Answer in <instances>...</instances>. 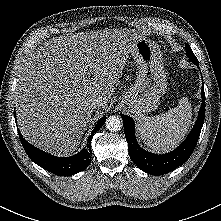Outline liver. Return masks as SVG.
Wrapping results in <instances>:
<instances>
[{"label":"liver","instance_id":"liver-1","mask_svg":"<svg viewBox=\"0 0 221 221\" xmlns=\"http://www.w3.org/2000/svg\"><path fill=\"white\" fill-rule=\"evenodd\" d=\"M142 38L134 30L108 29L61 35L26 59L15 90L23 137L56 156L78 147L98 100L106 109L128 54Z\"/></svg>","mask_w":221,"mask_h":221}]
</instances>
